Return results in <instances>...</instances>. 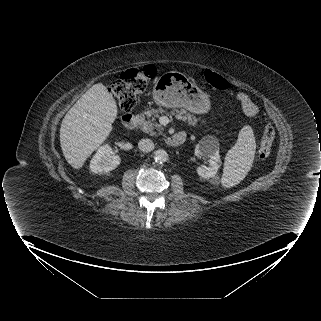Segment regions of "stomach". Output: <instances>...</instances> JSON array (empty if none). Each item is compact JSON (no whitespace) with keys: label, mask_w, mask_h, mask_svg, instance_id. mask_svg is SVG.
Here are the masks:
<instances>
[{"label":"stomach","mask_w":321,"mask_h":321,"mask_svg":"<svg viewBox=\"0 0 321 321\" xmlns=\"http://www.w3.org/2000/svg\"><path fill=\"white\" fill-rule=\"evenodd\" d=\"M154 102L166 108L183 107L195 114L210 111L209 97L184 74L166 72L159 77L153 88Z\"/></svg>","instance_id":"1"}]
</instances>
